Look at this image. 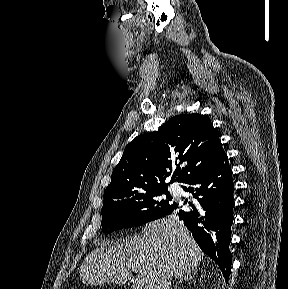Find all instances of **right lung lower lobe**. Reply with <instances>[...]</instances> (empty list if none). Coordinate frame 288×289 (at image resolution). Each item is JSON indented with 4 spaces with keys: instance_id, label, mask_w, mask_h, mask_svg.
<instances>
[{
    "instance_id": "obj_1",
    "label": "right lung lower lobe",
    "mask_w": 288,
    "mask_h": 289,
    "mask_svg": "<svg viewBox=\"0 0 288 289\" xmlns=\"http://www.w3.org/2000/svg\"><path fill=\"white\" fill-rule=\"evenodd\" d=\"M183 183L187 185L182 186L183 189L192 193L197 202L190 203V211H183L176 204L166 215L179 216L202 251L219 265L227 281L231 271L229 245L234 220V183L225 152Z\"/></svg>"
}]
</instances>
